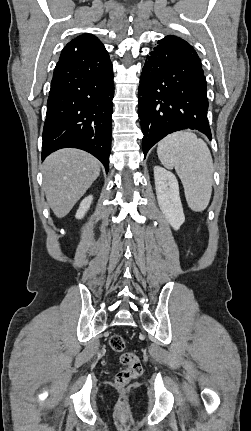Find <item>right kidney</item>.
<instances>
[{
  "instance_id": "obj_1",
  "label": "right kidney",
  "mask_w": 251,
  "mask_h": 431,
  "mask_svg": "<svg viewBox=\"0 0 251 431\" xmlns=\"http://www.w3.org/2000/svg\"><path fill=\"white\" fill-rule=\"evenodd\" d=\"M92 200H93V197H92V196H88V197L84 198V199L81 201V203H80V205H79V208H78V210H77V212H76V215H75V217H76L77 219H82V218L85 216L86 212H87V211L89 210V208H90V205H91V203H92Z\"/></svg>"
}]
</instances>
